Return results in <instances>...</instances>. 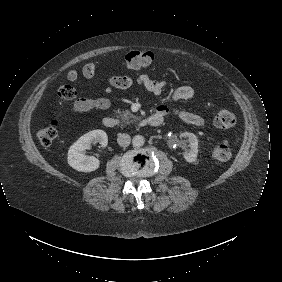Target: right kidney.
<instances>
[{
    "mask_svg": "<svg viewBox=\"0 0 282 282\" xmlns=\"http://www.w3.org/2000/svg\"><path fill=\"white\" fill-rule=\"evenodd\" d=\"M99 142L102 147L108 144V137L103 130H92L81 136L68 150V164L75 170L91 172L99 168L100 161L94 156H87L86 149L92 143Z\"/></svg>",
    "mask_w": 282,
    "mask_h": 282,
    "instance_id": "ca27d5eb",
    "label": "right kidney"
}]
</instances>
